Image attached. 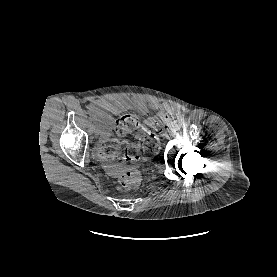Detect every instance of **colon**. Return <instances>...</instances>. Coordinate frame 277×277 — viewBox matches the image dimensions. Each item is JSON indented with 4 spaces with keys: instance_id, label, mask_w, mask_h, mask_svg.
Instances as JSON below:
<instances>
[{
    "instance_id": "colon-1",
    "label": "colon",
    "mask_w": 277,
    "mask_h": 277,
    "mask_svg": "<svg viewBox=\"0 0 277 277\" xmlns=\"http://www.w3.org/2000/svg\"><path fill=\"white\" fill-rule=\"evenodd\" d=\"M175 120V115H169L165 120H157L152 128L145 133L139 143V148L134 145L120 143L111 138L104 141L100 147V155L107 161L116 164L137 162L141 157L149 158L159 150L158 137L165 132L167 124ZM140 127V120L135 114H125L115 120L113 133L118 136L129 134ZM140 175L135 170L125 171L118 180V187L123 191H132L140 185Z\"/></svg>"
}]
</instances>
